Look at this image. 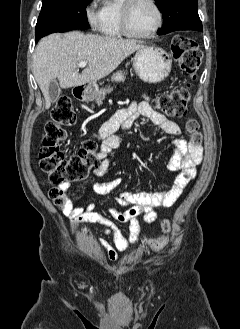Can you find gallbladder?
<instances>
[{
    "label": "gallbladder",
    "instance_id": "1",
    "mask_svg": "<svg viewBox=\"0 0 240 329\" xmlns=\"http://www.w3.org/2000/svg\"><path fill=\"white\" fill-rule=\"evenodd\" d=\"M48 93H49L50 102L55 103L58 100L61 93L60 85L56 80L51 81L49 83Z\"/></svg>",
    "mask_w": 240,
    "mask_h": 329
}]
</instances>
